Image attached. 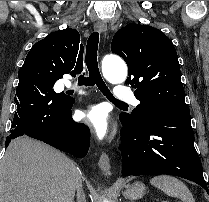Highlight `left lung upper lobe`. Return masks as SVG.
<instances>
[{
	"instance_id": "left-lung-upper-lobe-1",
	"label": "left lung upper lobe",
	"mask_w": 209,
	"mask_h": 202,
	"mask_svg": "<svg viewBox=\"0 0 209 202\" xmlns=\"http://www.w3.org/2000/svg\"><path fill=\"white\" fill-rule=\"evenodd\" d=\"M111 51L127 63L126 84L135 88L140 104L120 118L139 121L147 110L188 114L176 50L170 39L149 25L130 23L114 35Z\"/></svg>"
}]
</instances>
